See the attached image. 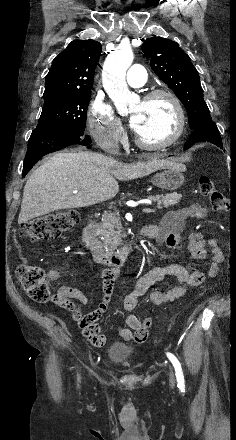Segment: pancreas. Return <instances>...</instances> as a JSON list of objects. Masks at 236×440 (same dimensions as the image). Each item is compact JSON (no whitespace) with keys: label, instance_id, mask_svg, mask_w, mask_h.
Returning <instances> with one entry per match:
<instances>
[{"label":"pancreas","instance_id":"obj_1","mask_svg":"<svg viewBox=\"0 0 236 440\" xmlns=\"http://www.w3.org/2000/svg\"><path fill=\"white\" fill-rule=\"evenodd\" d=\"M182 195L179 193H171L166 195H150L148 199L157 202V207L169 208L180 202ZM99 234L103 238L104 247L108 251H113L122 245L121 236L122 225L117 213H109L102 217V223L98 225Z\"/></svg>","mask_w":236,"mask_h":440}]
</instances>
